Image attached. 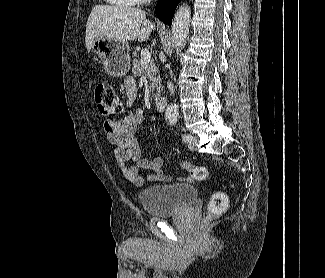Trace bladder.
<instances>
[{
  "mask_svg": "<svg viewBox=\"0 0 325 278\" xmlns=\"http://www.w3.org/2000/svg\"><path fill=\"white\" fill-rule=\"evenodd\" d=\"M198 197L192 184L171 183L146 187L139 193V201L151 217H165L191 207Z\"/></svg>",
  "mask_w": 325,
  "mask_h": 278,
  "instance_id": "obj_1",
  "label": "bladder"
}]
</instances>
